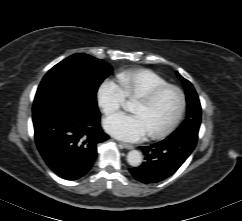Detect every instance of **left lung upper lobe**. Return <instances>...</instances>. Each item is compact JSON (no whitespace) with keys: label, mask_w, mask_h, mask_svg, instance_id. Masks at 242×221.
Instances as JSON below:
<instances>
[{"label":"left lung upper lobe","mask_w":242,"mask_h":221,"mask_svg":"<svg viewBox=\"0 0 242 221\" xmlns=\"http://www.w3.org/2000/svg\"><path fill=\"white\" fill-rule=\"evenodd\" d=\"M177 75L186 87L187 117L173 134H198L201 124V106L199 98L192 84L178 73Z\"/></svg>","instance_id":"obj_1"}]
</instances>
